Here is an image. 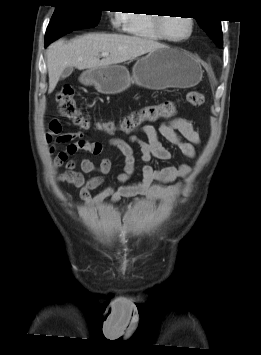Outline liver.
I'll list each match as a JSON object with an SVG mask.
<instances>
[{"label":"liver","instance_id":"6515ba94","mask_svg":"<svg viewBox=\"0 0 261 355\" xmlns=\"http://www.w3.org/2000/svg\"><path fill=\"white\" fill-rule=\"evenodd\" d=\"M163 47L157 41L122 34L89 33L69 42L58 40L47 50L49 90L55 89L66 67L94 69L122 63ZM108 52L101 60L99 55Z\"/></svg>","mask_w":261,"mask_h":355}]
</instances>
